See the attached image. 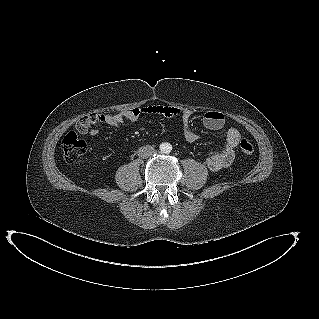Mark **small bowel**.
Wrapping results in <instances>:
<instances>
[{
    "instance_id": "small-bowel-1",
    "label": "small bowel",
    "mask_w": 319,
    "mask_h": 319,
    "mask_svg": "<svg viewBox=\"0 0 319 319\" xmlns=\"http://www.w3.org/2000/svg\"><path fill=\"white\" fill-rule=\"evenodd\" d=\"M160 114L167 117H180L182 121L184 138L188 142H195L198 135L191 127L192 112L188 109L165 105H148L134 107L131 109L109 114H91L88 123L78 122L76 130L81 134H88L96 137L99 134L98 124L118 126L127 123H134L141 115ZM204 126L212 131L221 130L225 125V117L219 111H208L203 117ZM240 133L236 128H229L226 131L222 148L214 152L206 159V165L211 171H218L228 167L234 160L235 149L240 141Z\"/></svg>"
}]
</instances>
